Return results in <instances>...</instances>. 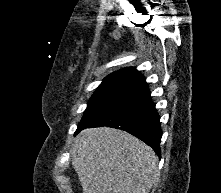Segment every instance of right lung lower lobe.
<instances>
[{"mask_svg": "<svg viewBox=\"0 0 221 193\" xmlns=\"http://www.w3.org/2000/svg\"><path fill=\"white\" fill-rule=\"evenodd\" d=\"M101 126H109L129 132L152 147L156 154L161 157L162 130L160 117L155 108V103L151 100L149 88H146L142 94L120 109L78 127L76 133L84 128Z\"/></svg>", "mask_w": 221, "mask_h": 193, "instance_id": "1", "label": "right lung lower lobe"}]
</instances>
